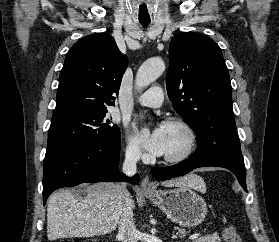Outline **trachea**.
Returning a JSON list of instances; mask_svg holds the SVG:
<instances>
[{
  "label": "trachea",
  "mask_w": 279,
  "mask_h": 242,
  "mask_svg": "<svg viewBox=\"0 0 279 242\" xmlns=\"http://www.w3.org/2000/svg\"><path fill=\"white\" fill-rule=\"evenodd\" d=\"M139 22L144 28H146L150 24V21H139Z\"/></svg>",
  "instance_id": "trachea-1"
}]
</instances>
